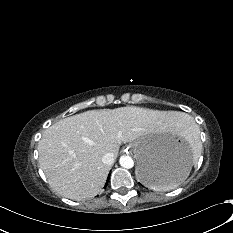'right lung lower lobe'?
Returning <instances> with one entry per match:
<instances>
[{
    "mask_svg": "<svg viewBox=\"0 0 233 233\" xmlns=\"http://www.w3.org/2000/svg\"><path fill=\"white\" fill-rule=\"evenodd\" d=\"M109 177H110V174H109V176H108L107 181H109ZM107 184H108V182H106V185H105V187H104V188H106Z\"/></svg>",
    "mask_w": 233,
    "mask_h": 233,
    "instance_id": "obj_1",
    "label": "right lung lower lobe"
}]
</instances>
